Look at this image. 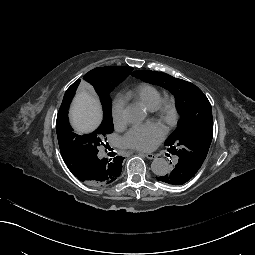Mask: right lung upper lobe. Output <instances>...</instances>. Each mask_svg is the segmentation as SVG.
<instances>
[{
	"label": "right lung upper lobe",
	"instance_id": "obj_1",
	"mask_svg": "<svg viewBox=\"0 0 255 255\" xmlns=\"http://www.w3.org/2000/svg\"><path fill=\"white\" fill-rule=\"evenodd\" d=\"M121 68L123 67L106 66L103 68H95L84 76V80L93 86L97 92L113 84V82L118 79V71L121 70ZM80 81L81 80H77L67 89L57 115L56 129L60 131V137L58 138L59 147L64 162L74 176L80 181L93 186H105L114 182L119 177L122 170L121 164L124 158L121 156L107 158L103 157L102 153L99 152L98 147L100 145L105 146L102 142L103 137L113 132V126L102 128L89 137L79 136L66 127L69 105ZM88 87L91 88L90 86ZM75 140L88 141L90 143V152L88 154L75 153L73 151V142ZM92 158H97L99 160L100 180L98 182H91L89 179L82 180L79 177L81 163L86 161L88 165H90V160Z\"/></svg>",
	"mask_w": 255,
	"mask_h": 255
}]
</instances>
